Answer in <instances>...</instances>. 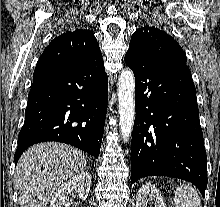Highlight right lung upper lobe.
Returning a JSON list of instances; mask_svg holds the SVG:
<instances>
[{
  "label": "right lung upper lobe",
  "instance_id": "right-lung-upper-lobe-1",
  "mask_svg": "<svg viewBox=\"0 0 220 207\" xmlns=\"http://www.w3.org/2000/svg\"><path fill=\"white\" fill-rule=\"evenodd\" d=\"M100 53L94 33L85 29L65 32L45 48L36 67L71 65Z\"/></svg>",
  "mask_w": 220,
  "mask_h": 207
}]
</instances>
